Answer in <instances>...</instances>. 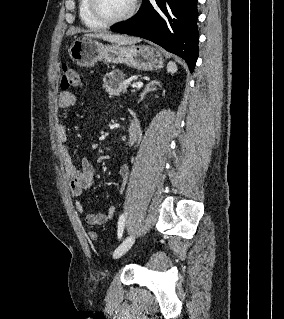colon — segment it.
Returning <instances> with one entry per match:
<instances>
[{"label":"colon","mask_w":284,"mask_h":319,"mask_svg":"<svg viewBox=\"0 0 284 319\" xmlns=\"http://www.w3.org/2000/svg\"><path fill=\"white\" fill-rule=\"evenodd\" d=\"M81 85V78L79 73L70 67L64 66L63 67V75L61 79V89L68 90L69 88L78 87ZM89 237L91 240H97V233L91 231L89 233Z\"/></svg>","instance_id":"obj_1"}]
</instances>
